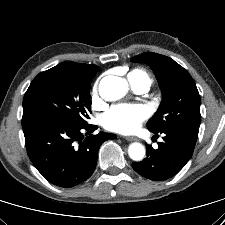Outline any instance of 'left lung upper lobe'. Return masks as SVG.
Wrapping results in <instances>:
<instances>
[{
  "instance_id": "obj_1",
  "label": "left lung upper lobe",
  "mask_w": 225,
  "mask_h": 225,
  "mask_svg": "<svg viewBox=\"0 0 225 225\" xmlns=\"http://www.w3.org/2000/svg\"><path fill=\"white\" fill-rule=\"evenodd\" d=\"M131 61L148 64L162 90V102L147 122L149 131L158 133L174 128L198 134L200 96L190 74L171 58L157 53L146 52L133 57Z\"/></svg>"
}]
</instances>
